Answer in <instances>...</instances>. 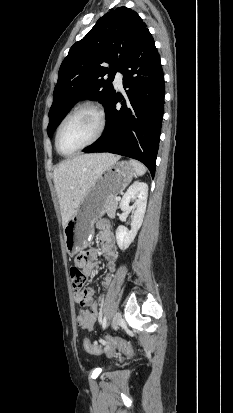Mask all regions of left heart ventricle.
Here are the masks:
<instances>
[{"label":"left heart ventricle","mask_w":233,"mask_h":413,"mask_svg":"<svg viewBox=\"0 0 233 413\" xmlns=\"http://www.w3.org/2000/svg\"><path fill=\"white\" fill-rule=\"evenodd\" d=\"M98 127L99 119L93 111L78 112L61 131L59 140L61 150L70 153L83 146L95 136Z\"/></svg>","instance_id":"1"}]
</instances>
